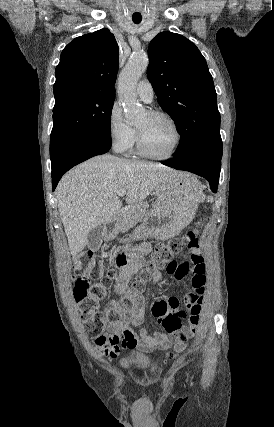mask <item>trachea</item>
<instances>
[{
  "instance_id": "3493384b",
  "label": "trachea",
  "mask_w": 274,
  "mask_h": 427,
  "mask_svg": "<svg viewBox=\"0 0 274 427\" xmlns=\"http://www.w3.org/2000/svg\"><path fill=\"white\" fill-rule=\"evenodd\" d=\"M140 22H141V20L140 21H134V23H137V24L140 23Z\"/></svg>"
}]
</instances>
